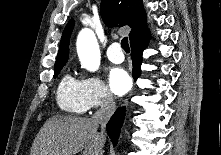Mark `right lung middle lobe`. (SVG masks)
I'll use <instances>...</instances> for the list:
<instances>
[{
	"label": "right lung middle lobe",
	"instance_id": "1",
	"mask_svg": "<svg viewBox=\"0 0 221 155\" xmlns=\"http://www.w3.org/2000/svg\"><path fill=\"white\" fill-rule=\"evenodd\" d=\"M63 66H64V65L55 67L54 78L58 75V73L60 72V70L62 69Z\"/></svg>",
	"mask_w": 221,
	"mask_h": 155
}]
</instances>
